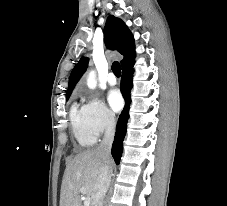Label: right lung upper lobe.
I'll return each mask as SVG.
<instances>
[{
    "label": "right lung upper lobe",
    "mask_w": 227,
    "mask_h": 206,
    "mask_svg": "<svg viewBox=\"0 0 227 206\" xmlns=\"http://www.w3.org/2000/svg\"><path fill=\"white\" fill-rule=\"evenodd\" d=\"M107 48L118 51L124 56L122 68L132 63L135 58L134 38L122 20L109 16L104 29ZM89 58L82 57L71 72L66 97H69L76 83L85 72Z\"/></svg>",
    "instance_id": "1"
}]
</instances>
